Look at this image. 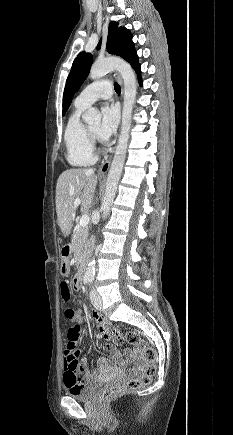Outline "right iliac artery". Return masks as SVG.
<instances>
[{"label": "right iliac artery", "mask_w": 233, "mask_h": 435, "mask_svg": "<svg viewBox=\"0 0 233 435\" xmlns=\"http://www.w3.org/2000/svg\"><path fill=\"white\" fill-rule=\"evenodd\" d=\"M90 278H87V279H84V283L86 284V283H88V282H90Z\"/></svg>", "instance_id": "obj_1"}]
</instances>
